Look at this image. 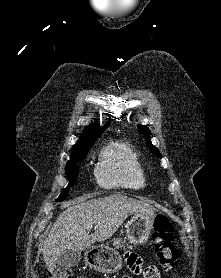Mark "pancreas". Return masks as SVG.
I'll list each match as a JSON object with an SVG mask.
<instances>
[{
	"label": "pancreas",
	"instance_id": "obj_1",
	"mask_svg": "<svg viewBox=\"0 0 221 278\" xmlns=\"http://www.w3.org/2000/svg\"><path fill=\"white\" fill-rule=\"evenodd\" d=\"M125 243H126V240H123L121 238L119 239H115L114 240V245L117 247V248H123L125 246Z\"/></svg>",
	"mask_w": 221,
	"mask_h": 278
}]
</instances>
